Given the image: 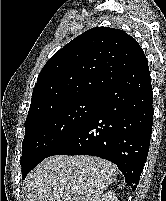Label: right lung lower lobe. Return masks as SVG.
<instances>
[{"label": "right lung lower lobe", "mask_w": 166, "mask_h": 201, "mask_svg": "<svg viewBox=\"0 0 166 201\" xmlns=\"http://www.w3.org/2000/svg\"><path fill=\"white\" fill-rule=\"evenodd\" d=\"M143 57L100 95L94 112L50 154L92 155L115 163L135 190L146 161L154 109ZM48 156V157H49Z\"/></svg>", "instance_id": "98d812e1"}]
</instances>
